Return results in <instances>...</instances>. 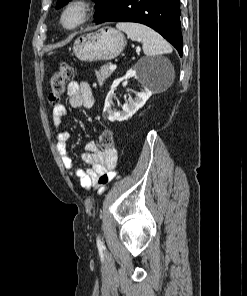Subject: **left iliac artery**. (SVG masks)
Wrapping results in <instances>:
<instances>
[{
	"mask_svg": "<svg viewBox=\"0 0 247 296\" xmlns=\"http://www.w3.org/2000/svg\"><path fill=\"white\" fill-rule=\"evenodd\" d=\"M97 245L99 247H102L103 246V243H102V241H101V239L99 237L97 238Z\"/></svg>",
	"mask_w": 247,
	"mask_h": 296,
	"instance_id": "1",
	"label": "left iliac artery"
}]
</instances>
